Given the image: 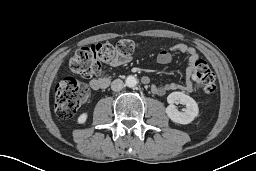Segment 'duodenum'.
<instances>
[{"label":"duodenum","instance_id":"duodenum-1","mask_svg":"<svg viewBox=\"0 0 256 171\" xmlns=\"http://www.w3.org/2000/svg\"><path fill=\"white\" fill-rule=\"evenodd\" d=\"M143 83H148V79H146V78H143Z\"/></svg>","mask_w":256,"mask_h":171}]
</instances>
